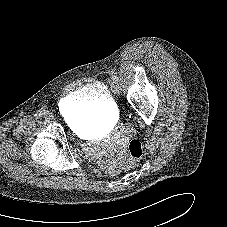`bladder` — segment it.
<instances>
[{"label":"bladder","mask_w":227,"mask_h":227,"mask_svg":"<svg viewBox=\"0 0 227 227\" xmlns=\"http://www.w3.org/2000/svg\"><path fill=\"white\" fill-rule=\"evenodd\" d=\"M62 106L78 132H88L93 126L107 123L117 110L107 86L99 81L68 94Z\"/></svg>","instance_id":"31cf9c89"}]
</instances>
